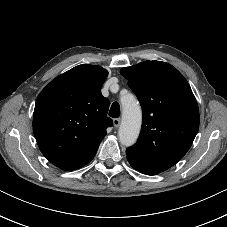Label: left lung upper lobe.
<instances>
[{
	"mask_svg": "<svg viewBox=\"0 0 227 227\" xmlns=\"http://www.w3.org/2000/svg\"><path fill=\"white\" fill-rule=\"evenodd\" d=\"M138 97L143 121L138 141L126 151L130 164L157 173L175 165L199 129V109L187 80L172 65L145 61L120 70Z\"/></svg>",
	"mask_w": 227,
	"mask_h": 227,
	"instance_id": "5c2ea615",
	"label": "left lung upper lobe"
}]
</instances>
